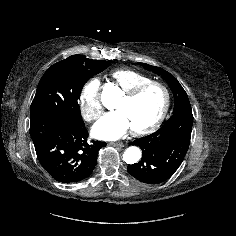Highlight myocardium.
<instances>
[{"label":"myocardium","mask_w":236,"mask_h":236,"mask_svg":"<svg viewBox=\"0 0 236 236\" xmlns=\"http://www.w3.org/2000/svg\"><path fill=\"white\" fill-rule=\"evenodd\" d=\"M152 86H158L160 87L165 95V102L163 105V108L159 114V116L157 117V119L151 123L150 125L143 127V128H139V129H131L132 133L135 135H145V134H149L152 133L153 131H155L164 121L169 107H170V103H171V95H170V91L168 89V87L160 82V81H155V80H150L148 82L139 84L137 86H135L134 88H132L129 91L124 92L123 98L125 100H134L135 98H137L141 93H143L146 89H148L149 87Z\"/></svg>","instance_id":"1"}]
</instances>
